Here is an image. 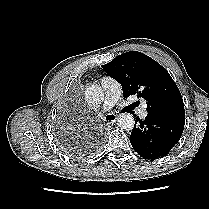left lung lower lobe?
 <instances>
[{
	"mask_svg": "<svg viewBox=\"0 0 209 209\" xmlns=\"http://www.w3.org/2000/svg\"><path fill=\"white\" fill-rule=\"evenodd\" d=\"M183 129L184 125L147 115L144 120L136 118L130 142L142 158L155 160L169 153L180 140Z\"/></svg>",
	"mask_w": 209,
	"mask_h": 209,
	"instance_id": "0a47b994",
	"label": "left lung lower lobe"
}]
</instances>
